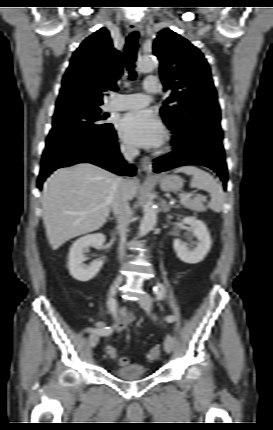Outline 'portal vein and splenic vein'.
<instances>
[{
  "label": "portal vein and splenic vein",
  "instance_id": "18ae733b",
  "mask_svg": "<svg viewBox=\"0 0 273 430\" xmlns=\"http://www.w3.org/2000/svg\"><path fill=\"white\" fill-rule=\"evenodd\" d=\"M194 195L195 194H193V193L184 194V195L181 196V201L186 200V199H188V198H190V197H192ZM197 196H200V195L198 194Z\"/></svg>",
  "mask_w": 273,
  "mask_h": 430
}]
</instances>
